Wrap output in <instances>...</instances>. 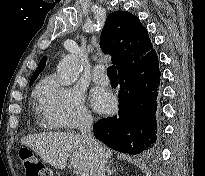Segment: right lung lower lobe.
Instances as JSON below:
<instances>
[{"label": "right lung lower lobe", "instance_id": "1", "mask_svg": "<svg viewBox=\"0 0 205 176\" xmlns=\"http://www.w3.org/2000/svg\"><path fill=\"white\" fill-rule=\"evenodd\" d=\"M119 112L93 125L97 139L110 148L130 154L150 150L156 142V108L160 71L155 51L118 73Z\"/></svg>", "mask_w": 205, "mask_h": 176}]
</instances>
